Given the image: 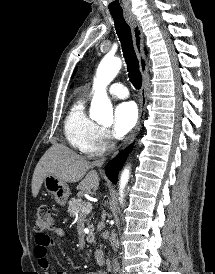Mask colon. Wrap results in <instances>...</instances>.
I'll use <instances>...</instances> for the list:
<instances>
[{"mask_svg":"<svg viewBox=\"0 0 215 274\" xmlns=\"http://www.w3.org/2000/svg\"><path fill=\"white\" fill-rule=\"evenodd\" d=\"M54 226V219L49 206L42 204L37 208V217L34 224V229L37 233L49 231Z\"/></svg>","mask_w":215,"mask_h":274,"instance_id":"1","label":"colon"}]
</instances>
